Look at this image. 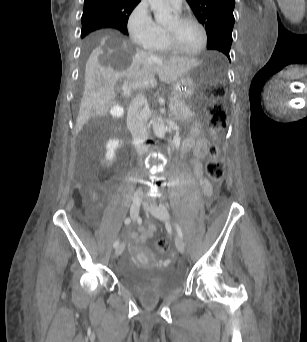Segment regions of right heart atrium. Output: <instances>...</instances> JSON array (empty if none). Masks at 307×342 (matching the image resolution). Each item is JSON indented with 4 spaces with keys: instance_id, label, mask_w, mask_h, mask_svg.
Instances as JSON below:
<instances>
[{
    "instance_id": "d8ad5b80",
    "label": "right heart atrium",
    "mask_w": 307,
    "mask_h": 342,
    "mask_svg": "<svg viewBox=\"0 0 307 342\" xmlns=\"http://www.w3.org/2000/svg\"><path fill=\"white\" fill-rule=\"evenodd\" d=\"M127 31L133 44L150 46L161 40L162 34L144 5H138L127 18Z\"/></svg>"
}]
</instances>
